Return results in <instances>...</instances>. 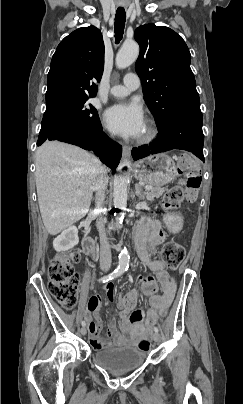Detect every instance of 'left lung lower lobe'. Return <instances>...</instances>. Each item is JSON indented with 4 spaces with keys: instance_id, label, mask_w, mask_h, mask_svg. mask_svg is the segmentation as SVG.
<instances>
[{
    "instance_id": "1",
    "label": "left lung lower lobe",
    "mask_w": 243,
    "mask_h": 404,
    "mask_svg": "<svg viewBox=\"0 0 243 404\" xmlns=\"http://www.w3.org/2000/svg\"><path fill=\"white\" fill-rule=\"evenodd\" d=\"M201 112L183 111L172 115L163 126L158 127L159 137L149 145L132 149L134 160L171 149L192 152L202 161L204 135Z\"/></svg>"
}]
</instances>
